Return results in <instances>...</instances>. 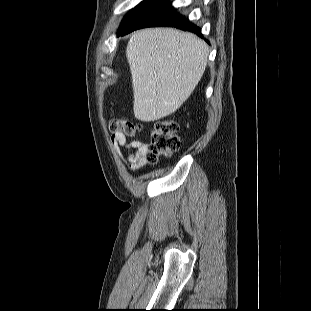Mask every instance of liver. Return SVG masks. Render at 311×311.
<instances>
[{"instance_id":"1","label":"liver","mask_w":311,"mask_h":311,"mask_svg":"<svg viewBox=\"0 0 311 311\" xmlns=\"http://www.w3.org/2000/svg\"><path fill=\"white\" fill-rule=\"evenodd\" d=\"M208 45L196 35L170 28L132 34L126 48L136 119L171 115L189 98L207 66Z\"/></svg>"}]
</instances>
